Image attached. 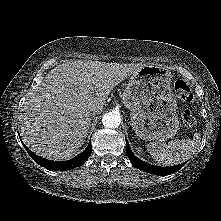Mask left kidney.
Listing matches in <instances>:
<instances>
[{"mask_svg":"<svg viewBox=\"0 0 221 221\" xmlns=\"http://www.w3.org/2000/svg\"><path fill=\"white\" fill-rule=\"evenodd\" d=\"M136 150H137L138 154H142V148L141 147H137Z\"/></svg>","mask_w":221,"mask_h":221,"instance_id":"left-kidney-1","label":"left kidney"}]
</instances>
